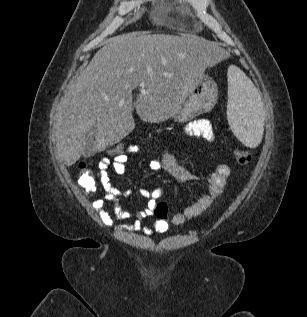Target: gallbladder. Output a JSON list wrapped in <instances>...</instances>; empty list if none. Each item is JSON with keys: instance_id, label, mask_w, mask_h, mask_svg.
<instances>
[{"instance_id": "bac80fb5", "label": "gallbladder", "mask_w": 307, "mask_h": 317, "mask_svg": "<svg viewBox=\"0 0 307 317\" xmlns=\"http://www.w3.org/2000/svg\"><path fill=\"white\" fill-rule=\"evenodd\" d=\"M97 144V129L92 127L87 133V144L83 152L84 157H90L95 153V147Z\"/></svg>"}]
</instances>
